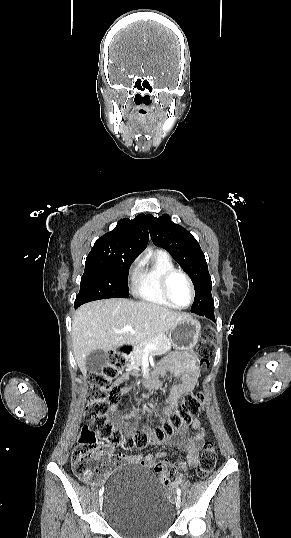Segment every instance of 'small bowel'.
Wrapping results in <instances>:
<instances>
[{"mask_svg": "<svg viewBox=\"0 0 291 538\" xmlns=\"http://www.w3.org/2000/svg\"><path fill=\"white\" fill-rule=\"evenodd\" d=\"M198 361L196 355L191 353H185L180 355L173 356L167 364V368L170 372L180 380L179 384L173 385L170 388L169 394L166 397V406L161 411V414L168 415L177 405V403L187 394L192 392L195 388L198 380V370L194 366ZM163 372V371H162ZM128 379V374L122 375L120 378L116 379L114 382V387L116 389L115 395L112 399V404L110 407L111 414L115 417L119 424V429L124 438H127L132 435L134 426L129 421V418L133 414H121L119 412V406L121 404V399L128 393L129 389L127 387H120ZM146 385L150 388L157 389L161 386V382L158 376L149 377L145 381ZM192 432L187 436L185 430H178L172 435L165 436L162 440L156 441L152 440V444H163L176 446L180 450L186 452V461L180 463L177 470L183 474L187 468H195L199 462V451L204 443V429L201 425L199 419L195 418L191 421ZM110 461L115 465H121L125 462L128 463H140L143 460V457L138 454H107ZM166 453L164 451H159L156 454L157 458L165 457ZM153 459L152 455L145 457V460Z\"/></svg>", "mask_w": 291, "mask_h": 538, "instance_id": "small-bowel-1", "label": "small bowel"}]
</instances>
